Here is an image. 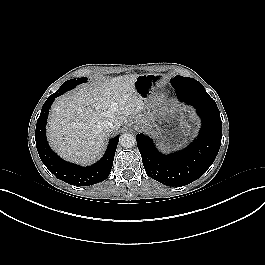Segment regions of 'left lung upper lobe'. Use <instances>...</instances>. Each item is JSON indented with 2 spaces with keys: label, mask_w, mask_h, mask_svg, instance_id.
<instances>
[{
  "label": "left lung upper lobe",
  "mask_w": 265,
  "mask_h": 265,
  "mask_svg": "<svg viewBox=\"0 0 265 265\" xmlns=\"http://www.w3.org/2000/svg\"><path fill=\"white\" fill-rule=\"evenodd\" d=\"M190 79H193V78L182 77V76L177 75L171 81H182V80H190Z\"/></svg>",
  "instance_id": "obj_1"
}]
</instances>
